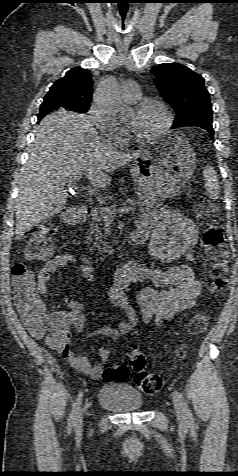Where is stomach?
Masks as SVG:
<instances>
[{
  "label": "stomach",
  "instance_id": "1",
  "mask_svg": "<svg viewBox=\"0 0 238 476\" xmlns=\"http://www.w3.org/2000/svg\"><path fill=\"white\" fill-rule=\"evenodd\" d=\"M196 154L179 132L154 141L130 170L143 194L153 198H172L179 194L196 166Z\"/></svg>",
  "mask_w": 238,
  "mask_h": 476
}]
</instances>
